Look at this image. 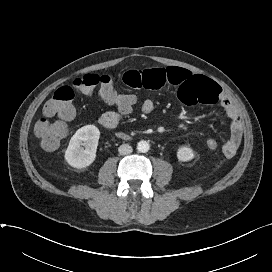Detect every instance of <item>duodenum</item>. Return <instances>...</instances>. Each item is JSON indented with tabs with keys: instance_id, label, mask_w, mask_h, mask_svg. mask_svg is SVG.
Here are the masks:
<instances>
[{
	"instance_id": "obj_1",
	"label": "duodenum",
	"mask_w": 272,
	"mask_h": 272,
	"mask_svg": "<svg viewBox=\"0 0 272 272\" xmlns=\"http://www.w3.org/2000/svg\"><path fill=\"white\" fill-rule=\"evenodd\" d=\"M119 137L122 138V139H127L128 138V136L124 135V134H119Z\"/></svg>"
}]
</instances>
